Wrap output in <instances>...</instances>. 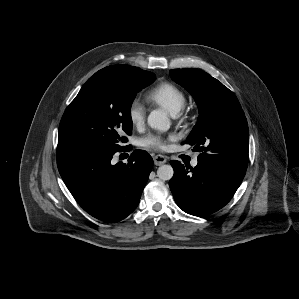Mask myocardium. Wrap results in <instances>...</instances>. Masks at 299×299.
Segmentation results:
<instances>
[{
	"label": "myocardium",
	"mask_w": 299,
	"mask_h": 299,
	"mask_svg": "<svg viewBox=\"0 0 299 299\" xmlns=\"http://www.w3.org/2000/svg\"><path fill=\"white\" fill-rule=\"evenodd\" d=\"M185 112L184 110L182 109L181 111H179L177 114H175V116H177L179 119H184L185 118Z\"/></svg>",
	"instance_id": "f54148a6"
}]
</instances>
